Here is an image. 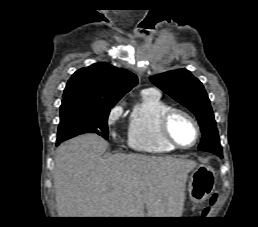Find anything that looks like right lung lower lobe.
Returning <instances> with one entry per match:
<instances>
[{
	"instance_id": "1",
	"label": "right lung lower lobe",
	"mask_w": 258,
	"mask_h": 227,
	"mask_svg": "<svg viewBox=\"0 0 258 227\" xmlns=\"http://www.w3.org/2000/svg\"><path fill=\"white\" fill-rule=\"evenodd\" d=\"M61 142H62V141H58V140H57V141H56V145H59Z\"/></svg>"
}]
</instances>
